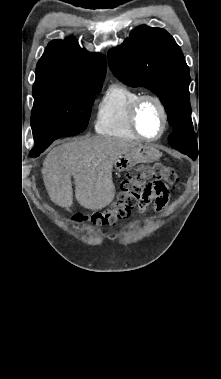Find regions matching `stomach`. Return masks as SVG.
I'll return each instance as SVG.
<instances>
[{"label": "stomach", "instance_id": "stomach-1", "mask_svg": "<svg viewBox=\"0 0 221 379\" xmlns=\"http://www.w3.org/2000/svg\"><path fill=\"white\" fill-rule=\"evenodd\" d=\"M160 152L148 145H137L124 152L114 163L117 172H124L138 163H152L160 158Z\"/></svg>", "mask_w": 221, "mask_h": 379}]
</instances>
